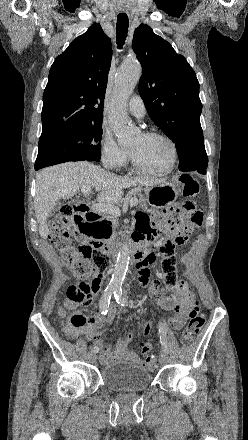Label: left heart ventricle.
<instances>
[{"instance_id":"b2bd125f","label":"left heart ventricle","mask_w":248,"mask_h":440,"mask_svg":"<svg viewBox=\"0 0 248 440\" xmlns=\"http://www.w3.org/2000/svg\"><path fill=\"white\" fill-rule=\"evenodd\" d=\"M130 149L137 163L148 171H162L171 161L170 146L161 138L141 134L131 143Z\"/></svg>"}]
</instances>
